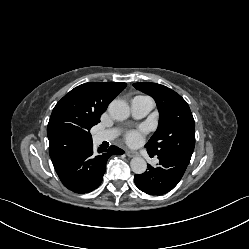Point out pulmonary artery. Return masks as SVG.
Here are the masks:
<instances>
[{"label":"pulmonary artery","instance_id":"obj_1","mask_svg":"<svg viewBox=\"0 0 249 249\" xmlns=\"http://www.w3.org/2000/svg\"><path fill=\"white\" fill-rule=\"evenodd\" d=\"M131 113L135 118L146 116L154 107V101L148 96H136L130 103ZM119 134V129L113 128L104 130L96 135L98 142H104L114 139Z\"/></svg>","mask_w":249,"mask_h":249}]
</instances>
